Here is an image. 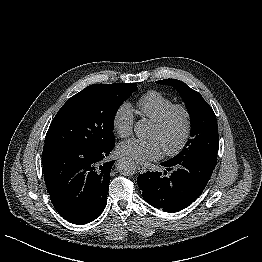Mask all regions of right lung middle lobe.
I'll return each instance as SVG.
<instances>
[{"label":"right lung middle lobe","instance_id":"right-lung-middle-lobe-1","mask_svg":"<svg viewBox=\"0 0 262 262\" xmlns=\"http://www.w3.org/2000/svg\"><path fill=\"white\" fill-rule=\"evenodd\" d=\"M137 90L135 83L93 84L72 96L61 107L44 145L106 147L115 144L114 116Z\"/></svg>","mask_w":262,"mask_h":262}]
</instances>
